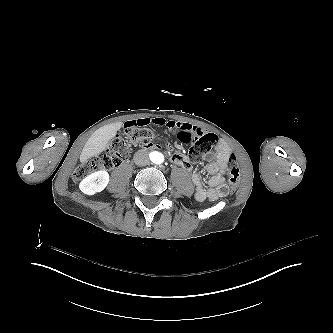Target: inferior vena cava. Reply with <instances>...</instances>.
I'll list each match as a JSON object with an SVG mask.
<instances>
[{
    "instance_id": "inferior-vena-cava-1",
    "label": "inferior vena cava",
    "mask_w": 333,
    "mask_h": 333,
    "mask_svg": "<svg viewBox=\"0 0 333 333\" xmlns=\"http://www.w3.org/2000/svg\"><path fill=\"white\" fill-rule=\"evenodd\" d=\"M134 163L138 166H145L150 163V156L147 150H139L134 154Z\"/></svg>"
}]
</instances>
